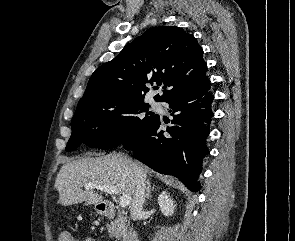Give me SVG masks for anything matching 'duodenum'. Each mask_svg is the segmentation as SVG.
Masks as SVG:
<instances>
[{"label":"duodenum","mask_w":295,"mask_h":241,"mask_svg":"<svg viewBox=\"0 0 295 241\" xmlns=\"http://www.w3.org/2000/svg\"><path fill=\"white\" fill-rule=\"evenodd\" d=\"M99 208L103 212V214L106 216H113L116 214V207L112 203H107V202L100 203ZM123 241H139V238L137 234L129 233L125 235V237L123 238Z\"/></svg>","instance_id":"obj_1"}]
</instances>
